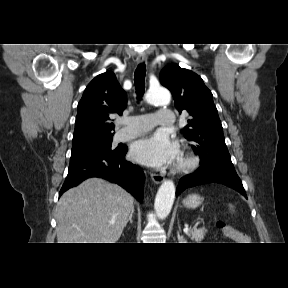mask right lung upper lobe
Instances as JSON below:
<instances>
[{"label":"right lung upper lobe","mask_w":288,"mask_h":288,"mask_svg":"<svg viewBox=\"0 0 288 288\" xmlns=\"http://www.w3.org/2000/svg\"><path fill=\"white\" fill-rule=\"evenodd\" d=\"M127 105L126 92L113 72L96 76L86 87L78 104L73 147L112 137L111 114L122 115Z\"/></svg>","instance_id":"cb5924a9"}]
</instances>
